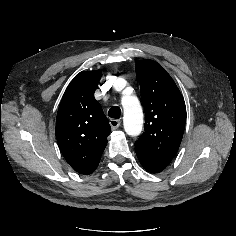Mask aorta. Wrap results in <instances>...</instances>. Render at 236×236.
I'll return each mask as SVG.
<instances>
[{
	"label": "aorta",
	"mask_w": 236,
	"mask_h": 236,
	"mask_svg": "<svg viewBox=\"0 0 236 236\" xmlns=\"http://www.w3.org/2000/svg\"><path fill=\"white\" fill-rule=\"evenodd\" d=\"M124 111V129L129 136H137L143 127V113L139 100L134 95H127L122 98Z\"/></svg>",
	"instance_id": "obj_1"
}]
</instances>
